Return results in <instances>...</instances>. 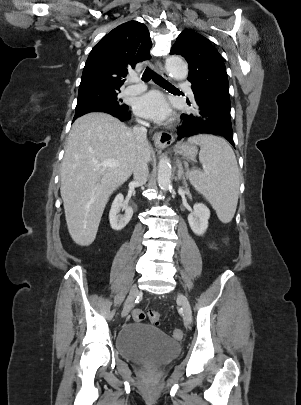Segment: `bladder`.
<instances>
[{
  "label": "bladder",
  "mask_w": 301,
  "mask_h": 405,
  "mask_svg": "<svg viewBox=\"0 0 301 405\" xmlns=\"http://www.w3.org/2000/svg\"><path fill=\"white\" fill-rule=\"evenodd\" d=\"M116 349L125 359L163 365L178 355L180 345L156 327L131 323L118 333Z\"/></svg>",
  "instance_id": "1"
}]
</instances>
